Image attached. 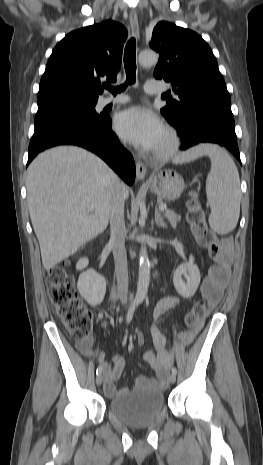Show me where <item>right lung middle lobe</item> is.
Returning <instances> with one entry per match:
<instances>
[{
    "label": "right lung middle lobe",
    "mask_w": 263,
    "mask_h": 465,
    "mask_svg": "<svg viewBox=\"0 0 263 465\" xmlns=\"http://www.w3.org/2000/svg\"><path fill=\"white\" fill-rule=\"evenodd\" d=\"M35 120L53 114H74L85 118L100 117L95 111L97 99L60 96L38 101Z\"/></svg>",
    "instance_id": "obj_1"
}]
</instances>
